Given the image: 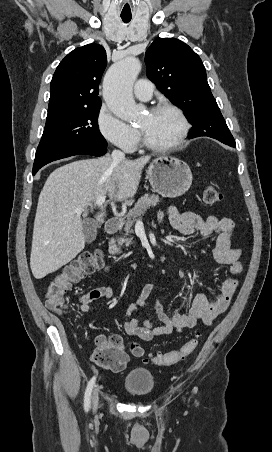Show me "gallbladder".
Instances as JSON below:
<instances>
[{"mask_svg":"<svg viewBox=\"0 0 272 452\" xmlns=\"http://www.w3.org/2000/svg\"><path fill=\"white\" fill-rule=\"evenodd\" d=\"M98 224L92 219H86L83 222V233L85 237V241L87 243H91L95 240L97 235Z\"/></svg>","mask_w":272,"mask_h":452,"instance_id":"bac80fb5","label":"gallbladder"}]
</instances>
